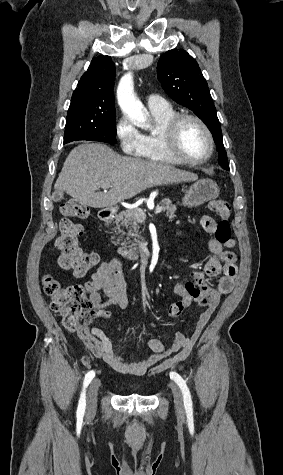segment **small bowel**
Here are the masks:
<instances>
[{
	"label": "small bowel",
	"mask_w": 283,
	"mask_h": 475,
	"mask_svg": "<svg viewBox=\"0 0 283 475\" xmlns=\"http://www.w3.org/2000/svg\"><path fill=\"white\" fill-rule=\"evenodd\" d=\"M200 227L213 235L216 233L214 231V220L208 215L201 217ZM181 235L191 236L186 231H183ZM233 246L234 241L232 239H225L223 244L215 239H210L208 241V249L211 252L210 259L202 270L192 272V276L202 285L197 302L194 303L204 309L200 313L190 335L177 333L168 346H165L160 338H151L148 345L152 353L138 361H128L116 354L106 333L98 327H93L107 324L106 318L109 313L105 311V307L109 305H118L122 309L129 307L128 283L122 271V262L118 259H112L102 263L85 284V291L95 312L87 313L88 319L83 322L77 332L78 338L96 358L124 375L143 377L147 374L149 368L158 363H162L163 367H170L186 359L222 298L233 290L237 276V259L236 255L228 250ZM216 277L218 281L214 287H210L204 282L205 278ZM184 287L185 283H177L174 287L175 295L183 293Z\"/></svg>",
	"instance_id": "obj_1"
}]
</instances>
